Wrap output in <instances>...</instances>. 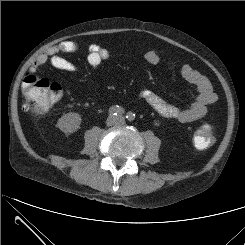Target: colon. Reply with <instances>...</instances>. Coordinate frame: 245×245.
<instances>
[{"label":"colon","mask_w":245,"mask_h":245,"mask_svg":"<svg viewBox=\"0 0 245 245\" xmlns=\"http://www.w3.org/2000/svg\"><path fill=\"white\" fill-rule=\"evenodd\" d=\"M25 108L36 114H43L54 105L61 96V87L57 82L28 73L22 83ZM194 145L198 149H207L215 141L214 128L210 124L202 125L194 135Z\"/></svg>","instance_id":"5ec220e1"}]
</instances>
